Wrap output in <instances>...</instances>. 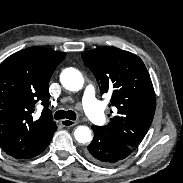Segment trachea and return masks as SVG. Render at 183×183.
Returning a JSON list of instances; mask_svg holds the SVG:
<instances>
[{
    "mask_svg": "<svg viewBox=\"0 0 183 183\" xmlns=\"http://www.w3.org/2000/svg\"><path fill=\"white\" fill-rule=\"evenodd\" d=\"M54 118L57 120H60V119L75 120L76 113L74 111H71V110H68V111L58 110L57 112H55Z\"/></svg>",
    "mask_w": 183,
    "mask_h": 183,
    "instance_id": "3493384b",
    "label": "trachea"
}]
</instances>
